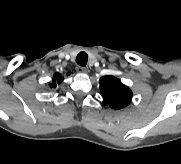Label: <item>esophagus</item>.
<instances>
[{"mask_svg":"<svg viewBox=\"0 0 181 164\" xmlns=\"http://www.w3.org/2000/svg\"><path fill=\"white\" fill-rule=\"evenodd\" d=\"M77 71L82 74H86L88 72V69L86 67L78 66Z\"/></svg>","mask_w":181,"mask_h":164,"instance_id":"obj_1","label":"esophagus"}]
</instances>
